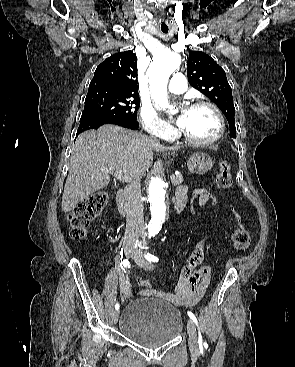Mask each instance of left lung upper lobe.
<instances>
[{
    "label": "left lung upper lobe",
    "instance_id": "left-lung-upper-lobe-1",
    "mask_svg": "<svg viewBox=\"0 0 295 367\" xmlns=\"http://www.w3.org/2000/svg\"><path fill=\"white\" fill-rule=\"evenodd\" d=\"M187 65L190 85L219 107L229 122L230 137H235V107L225 71L212 57L199 51L189 52Z\"/></svg>",
    "mask_w": 295,
    "mask_h": 367
}]
</instances>
